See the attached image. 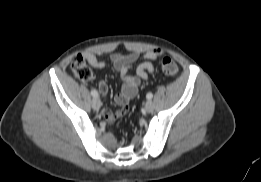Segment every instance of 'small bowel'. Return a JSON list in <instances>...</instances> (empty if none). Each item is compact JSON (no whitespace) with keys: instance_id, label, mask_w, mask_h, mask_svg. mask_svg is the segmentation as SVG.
Returning a JSON list of instances; mask_svg holds the SVG:
<instances>
[{"instance_id":"c3829d8e","label":"small bowel","mask_w":261,"mask_h":182,"mask_svg":"<svg viewBox=\"0 0 261 182\" xmlns=\"http://www.w3.org/2000/svg\"><path fill=\"white\" fill-rule=\"evenodd\" d=\"M163 54L164 52L161 49H152L143 53H114L110 56V61L119 73L122 84L120 91L115 95V102L119 109L116 112L103 109L101 112L102 117L107 122H113L128 112L129 102L136 96L140 83L148 80L149 76L154 72L152 62L163 56ZM82 57L96 69L107 66L106 61L98 59L92 52H84ZM132 69L136 70V75L131 74ZM99 90L102 96L108 94V86L104 81L99 83Z\"/></svg>"}]
</instances>
